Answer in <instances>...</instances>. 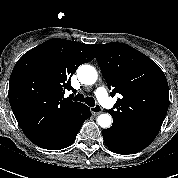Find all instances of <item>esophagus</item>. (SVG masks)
Listing matches in <instances>:
<instances>
[{"instance_id":"obj_1","label":"esophagus","mask_w":178,"mask_h":178,"mask_svg":"<svg viewBox=\"0 0 178 178\" xmlns=\"http://www.w3.org/2000/svg\"><path fill=\"white\" fill-rule=\"evenodd\" d=\"M90 110H91V113H92L93 115H98V114H100V113L102 112V108H101V106L98 105V104L95 105L94 107H91Z\"/></svg>"}]
</instances>
